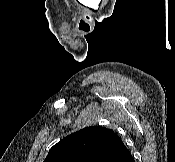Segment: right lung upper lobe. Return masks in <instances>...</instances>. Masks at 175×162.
Returning <instances> with one entry per match:
<instances>
[{
    "label": "right lung upper lobe",
    "instance_id": "right-lung-upper-lobe-1",
    "mask_svg": "<svg viewBox=\"0 0 175 162\" xmlns=\"http://www.w3.org/2000/svg\"><path fill=\"white\" fill-rule=\"evenodd\" d=\"M127 153L129 150L113 130L89 126L60 140L44 162H116Z\"/></svg>",
    "mask_w": 175,
    "mask_h": 162
}]
</instances>
